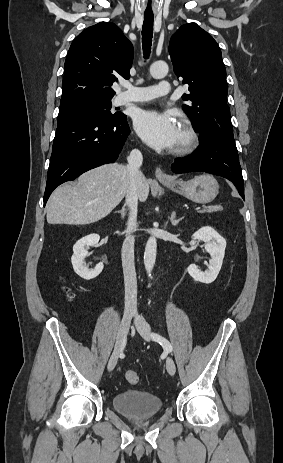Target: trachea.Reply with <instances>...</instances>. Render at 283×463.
<instances>
[{
	"label": "trachea",
	"instance_id": "obj_1",
	"mask_svg": "<svg viewBox=\"0 0 283 463\" xmlns=\"http://www.w3.org/2000/svg\"><path fill=\"white\" fill-rule=\"evenodd\" d=\"M153 15H144L142 27V47L144 58H148L151 53L152 38H153Z\"/></svg>",
	"mask_w": 283,
	"mask_h": 463
}]
</instances>
